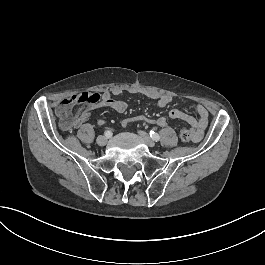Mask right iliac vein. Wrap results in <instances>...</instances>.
Listing matches in <instances>:
<instances>
[{
  "label": "right iliac vein",
  "mask_w": 265,
  "mask_h": 265,
  "mask_svg": "<svg viewBox=\"0 0 265 265\" xmlns=\"http://www.w3.org/2000/svg\"><path fill=\"white\" fill-rule=\"evenodd\" d=\"M97 143L98 145L100 146H104L106 143H107V137L103 136V135H100L98 138H97Z\"/></svg>",
  "instance_id": "obj_1"
}]
</instances>
